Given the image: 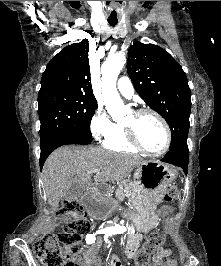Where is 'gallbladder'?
Here are the masks:
<instances>
[{"label":"gallbladder","mask_w":221,"mask_h":266,"mask_svg":"<svg viewBox=\"0 0 221 266\" xmlns=\"http://www.w3.org/2000/svg\"><path fill=\"white\" fill-rule=\"evenodd\" d=\"M86 186L81 184H73L71 185L67 191L65 192V195L63 197V200L65 201H75L80 196L83 195L85 191Z\"/></svg>","instance_id":"obj_1"}]
</instances>
